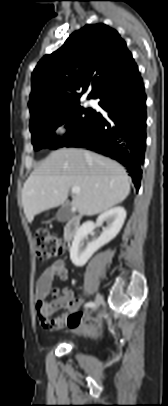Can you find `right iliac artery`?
Listing matches in <instances>:
<instances>
[{
  "label": "right iliac artery",
  "instance_id": "82829eb1",
  "mask_svg": "<svg viewBox=\"0 0 168 406\" xmlns=\"http://www.w3.org/2000/svg\"><path fill=\"white\" fill-rule=\"evenodd\" d=\"M94 306V303L93 302H87L86 304H85V307H93Z\"/></svg>",
  "mask_w": 168,
  "mask_h": 406
}]
</instances>
